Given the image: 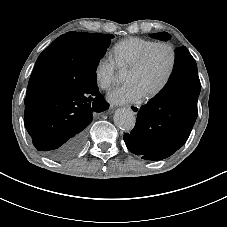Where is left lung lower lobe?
Instances as JSON below:
<instances>
[{
	"instance_id": "obj_1",
	"label": "left lung lower lobe",
	"mask_w": 227,
	"mask_h": 227,
	"mask_svg": "<svg viewBox=\"0 0 227 227\" xmlns=\"http://www.w3.org/2000/svg\"><path fill=\"white\" fill-rule=\"evenodd\" d=\"M200 89L194 58L186 47L177 48L168 83L140 108L134 129L124 134L127 148L153 161L176 152L188 139L197 118Z\"/></svg>"
}]
</instances>
